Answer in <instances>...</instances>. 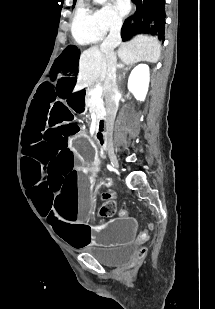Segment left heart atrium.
Wrapping results in <instances>:
<instances>
[{"label":"left heart atrium","mask_w":215,"mask_h":309,"mask_svg":"<svg viewBox=\"0 0 215 309\" xmlns=\"http://www.w3.org/2000/svg\"><path fill=\"white\" fill-rule=\"evenodd\" d=\"M114 4H116V7H122V10H125V7H127V0H114Z\"/></svg>","instance_id":"left-heart-atrium-1"}]
</instances>
